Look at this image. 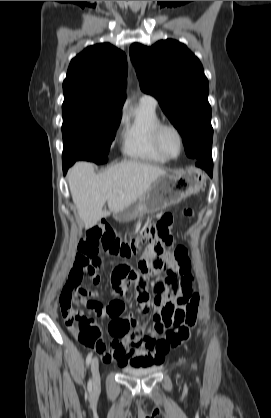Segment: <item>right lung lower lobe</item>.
Returning a JSON list of instances; mask_svg holds the SVG:
<instances>
[{
	"mask_svg": "<svg viewBox=\"0 0 271 418\" xmlns=\"http://www.w3.org/2000/svg\"><path fill=\"white\" fill-rule=\"evenodd\" d=\"M72 164H73L72 162H69V161H63V171H64V174H66V172H67L68 168H69Z\"/></svg>",
	"mask_w": 271,
	"mask_h": 418,
	"instance_id": "right-lung-lower-lobe-1",
	"label": "right lung lower lobe"
}]
</instances>
